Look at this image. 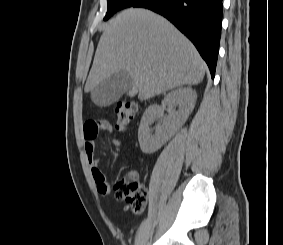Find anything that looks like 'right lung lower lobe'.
Returning a JSON list of instances; mask_svg holds the SVG:
<instances>
[{
  "mask_svg": "<svg viewBox=\"0 0 283 245\" xmlns=\"http://www.w3.org/2000/svg\"><path fill=\"white\" fill-rule=\"evenodd\" d=\"M132 7L150 9L171 21L193 42L214 78L221 35L222 0H139Z\"/></svg>",
  "mask_w": 283,
  "mask_h": 245,
  "instance_id": "obj_1",
  "label": "right lung lower lobe"
}]
</instances>
